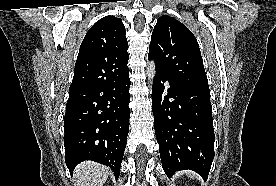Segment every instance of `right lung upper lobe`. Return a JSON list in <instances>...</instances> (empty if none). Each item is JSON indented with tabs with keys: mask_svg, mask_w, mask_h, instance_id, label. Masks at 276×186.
Returning a JSON list of instances; mask_svg holds the SVG:
<instances>
[{
	"mask_svg": "<svg viewBox=\"0 0 276 186\" xmlns=\"http://www.w3.org/2000/svg\"><path fill=\"white\" fill-rule=\"evenodd\" d=\"M126 30L120 18L105 16L85 35L70 91L116 82L129 74Z\"/></svg>",
	"mask_w": 276,
	"mask_h": 186,
	"instance_id": "right-lung-upper-lobe-1",
	"label": "right lung upper lobe"
}]
</instances>
